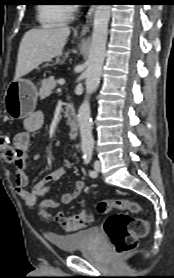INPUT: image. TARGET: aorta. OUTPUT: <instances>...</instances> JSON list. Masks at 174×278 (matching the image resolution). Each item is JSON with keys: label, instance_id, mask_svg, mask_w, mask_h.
Wrapping results in <instances>:
<instances>
[{"label": "aorta", "instance_id": "obj_1", "mask_svg": "<svg viewBox=\"0 0 174 278\" xmlns=\"http://www.w3.org/2000/svg\"><path fill=\"white\" fill-rule=\"evenodd\" d=\"M110 16L111 5H98L96 7L91 46L85 71L86 96L78 111V125L83 151H92L94 147L89 98L99 85L105 58Z\"/></svg>", "mask_w": 174, "mask_h": 278}]
</instances>
